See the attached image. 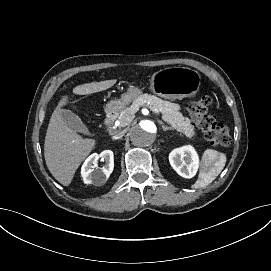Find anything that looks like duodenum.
Returning a JSON list of instances; mask_svg holds the SVG:
<instances>
[{"mask_svg": "<svg viewBox=\"0 0 271 271\" xmlns=\"http://www.w3.org/2000/svg\"><path fill=\"white\" fill-rule=\"evenodd\" d=\"M115 118H116V112L114 110H110L106 115V119H105L106 124L111 125L114 122Z\"/></svg>", "mask_w": 271, "mask_h": 271, "instance_id": "1", "label": "duodenum"}]
</instances>
